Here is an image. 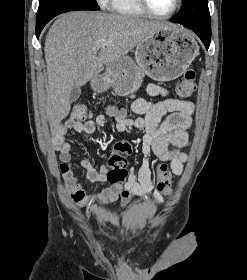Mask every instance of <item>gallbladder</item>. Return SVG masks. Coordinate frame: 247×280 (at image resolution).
Returning <instances> with one entry per match:
<instances>
[{
  "label": "gallbladder",
  "mask_w": 247,
  "mask_h": 280,
  "mask_svg": "<svg viewBox=\"0 0 247 280\" xmlns=\"http://www.w3.org/2000/svg\"><path fill=\"white\" fill-rule=\"evenodd\" d=\"M81 94V89L79 86H74L72 91L70 92V102H75Z\"/></svg>",
  "instance_id": "gallbladder-1"
}]
</instances>
